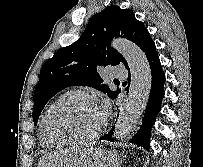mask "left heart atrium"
Masks as SVG:
<instances>
[{"mask_svg":"<svg viewBox=\"0 0 203 167\" xmlns=\"http://www.w3.org/2000/svg\"><path fill=\"white\" fill-rule=\"evenodd\" d=\"M108 108H109V105L107 103H104L103 111L101 112L103 117H105V115L107 114Z\"/></svg>","mask_w":203,"mask_h":167,"instance_id":"left-heart-atrium-1","label":"left heart atrium"}]
</instances>
